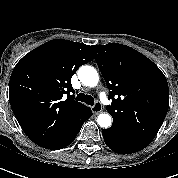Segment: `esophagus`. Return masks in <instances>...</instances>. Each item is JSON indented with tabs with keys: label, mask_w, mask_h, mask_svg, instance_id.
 I'll use <instances>...</instances> for the list:
<instances>
[{
	"label": "esophagus",
	"mask_w": 178,
	"mask_h": 178,
	"mask_svg": "<svg viewBox=\"0 0 178 178\" xmlns=\"http://www.w3.org/2000/svg\"><path fill=\"white\" fill-rule=\"evenodd\" d=\"M91 110L94 114H99L102 111V105L96 102L95 105L91 107Z\"/></svg>",
	"instance_id": "obj_1"
}]
</instances>
